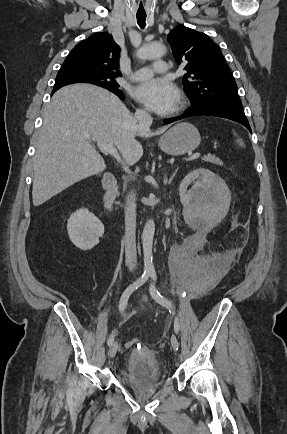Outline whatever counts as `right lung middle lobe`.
<instances>
[{"label":"right lung middle lobe","mask_w":287,"mask_h":434,"mask_svg":"<svg viewBox=\"0 0 287 434\" xmlns=\"http://www.w3.org/2000/svg\"><path fill=\"white\" fill-rule=\"evenodd\" d=\"M116 75L102 74L89 70L68 68L61 69L56 77L55 85L72 83H90L110 90L113 93H122L115 81Z\"/></svg>","instance_id":"dd1d6c3e"}]
</instances>
